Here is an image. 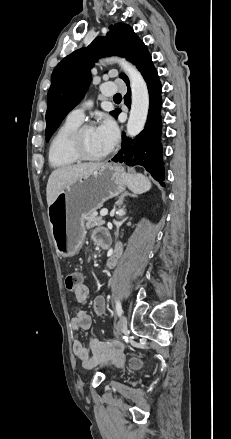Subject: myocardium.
Returning a JSON list of instances; mask_svg holds the SVG:
<instances>
[{
  "instance_id": "myocardium-1",
  "label": "myocardium",
  "mask_w": 231,
  "mask_h": 439,
  "mask_svg": "<svg viewBox=\"0 0 231 439\" xmlns=\"http://www.w3.org/2000/svg\"><path fill=\"white\" fill-rule=\"evenodd\" d=\"M94 128L91 124H83L78 126L69 136L68 148L70 153L80 161H99L106 158L111 150L107 151L101 155H90L88 154L82 145V136L84 132L88 129Z\"/></svg>"
}]
</instances>
